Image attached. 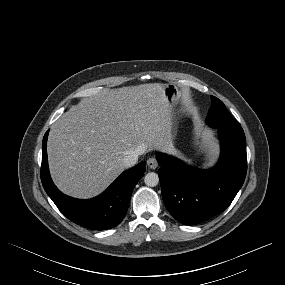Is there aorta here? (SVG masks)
<instances>
[{
    "label": "aorta",
    "instance_id": "aorta-1",
    "mask_svg": "<svg viewBox=\"0 0 285 285\" xmlns=\"http://www.w3.org/2000/svg\"><path fill=\"white\" fill-rule=\"evenodd\" d=\"M144 182L149 187H154L159 183V177L154 172H149L144 177Z\"/></svg>",
    "mask_w": 285,
    "mask_h": 285
}]
</instances>
